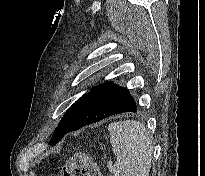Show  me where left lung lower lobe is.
I'll list each match as a JSON object with an SVG mask.
<instances>
[{
  "mask_svg": "<svg viewBox=\"0 0 205 176\" xmlns=\"http://www.w3.org/2000/svg\"><path fill=\"white\" fill-rule=\"evenodd\" d=\"M125 112H137L133 97L126 88L106 82L82 100L65 134Z\"/></svg>",
  "mask_w": 205,
  "mask_h": 176,
  "instance_id": "1",
  "label": "left lung lower lobe"
}]
</instances>
